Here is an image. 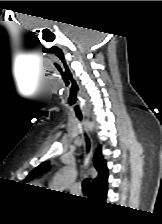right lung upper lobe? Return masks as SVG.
<instances>
[{
	"label": "right lung upper lobe",
	"instance_id": "cb5924a9",
	"mask_svg": "<svg viewBox=\"0 0 162 224\" xmlns=\"http://www.w3.org/2000/svg\"><path fill=\"white\" fill-rule=\"evenodd\" d=\"M94 165L98 171V176L92 181L90 187V194L93 197H97L101 193L107 190V182H108V169L106 166L105 160H103V156L101 153V146H99L96 150L94 156ZM49 162H43L39 166H37L25 179V182L32 180L33 178L41 175L47 171V166Z\"/></svg>",
	"mask_w": 162,
	"mask_h": 224
}]
</instances>
